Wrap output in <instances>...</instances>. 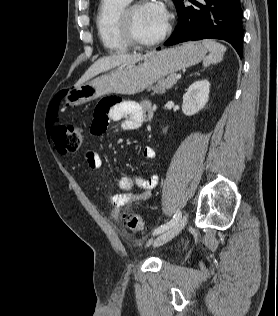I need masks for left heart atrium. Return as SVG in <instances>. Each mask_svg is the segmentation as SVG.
I'll return each instance as SVG.
<instances>
[{
  "instance_id": "left-heart-atrium-1",
  "label": "left heart atrium",
  "mask_w": 278,
  "mask_h": 316,
  "mask_svg": "<svg viewBox=\"0 0 278 316\" xmlns=\"http://www.w3.org/2000/svg\"><path fill=\"white\" fill-rule=\"evenodd\" d=\"M147 7L157 19L167 23L169 14L163 2L160 0H151L149 3H147Z\"/></svg>"
}]
</instances>
